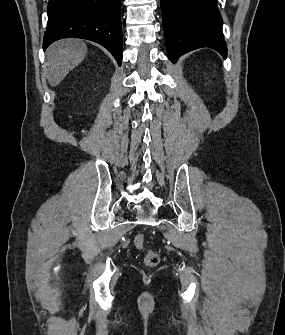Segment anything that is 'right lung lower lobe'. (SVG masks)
Here are the masks:
<instances>
[{
	"instance_id": "98d812e1",
	"label": "right lung lower lobe",
	"mask_w": 285,
	"mask_h": 335,
	"mask_svg": "<svg viewBox=\"0 0 285 335\" xmlns=\"http://www.w3.org/2000/svg\"><path fill=\"white\" fill-rule=\"evenodd\" d=\"M63 38H82L101 44L121 66L120 0H49L43 49Z\"/></svg>"
}]
</instances>
